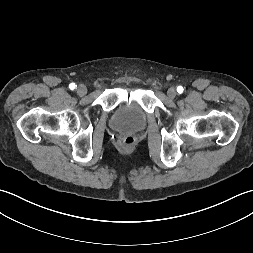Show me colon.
I'll return each instance as SVG.
<instances>
[{"label":"colon","mask_w":253,"mask_h":253,"mask_svg":"<svg viewBox=\"0 0 253 253\" xmlns=\"http://www.w3.org/2000/svg\"><path fill=\"white\" fill-rule=\"evenodd\" d=\"M134 144V138L131 136H127L121 140L122 147L128 149L131 148Z\"/></svg>","instance_id":"obj_1"}]
</instances>
